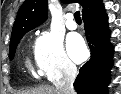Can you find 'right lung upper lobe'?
Here are the masks:
<instances>
[{
	"mask_svg": "<svg viewBox=\"0 0 121 94\" xmlns=\"http://www.w3.org/2000/svg\"><path fill=\"white\" fill-rule=\"evenodd\" d=\"M63 3H79L82 16L94 10L101 0H61ZM47 0H26L20 7L13 25L11 39L21 32L31 30L47 19ZM11 41V40H10Z\"/></svg>",
	"mask_w": 121,
	"mask_h": 94,
	"instance_id": "right-lung-upper-lobe-1",
	"label": "right lung upper lobe"
}]
</instances>
